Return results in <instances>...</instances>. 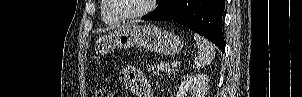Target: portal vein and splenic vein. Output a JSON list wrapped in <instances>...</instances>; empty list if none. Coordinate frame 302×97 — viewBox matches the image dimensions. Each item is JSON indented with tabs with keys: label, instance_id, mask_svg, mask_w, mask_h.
I'll use <instances>...</instances> for the list:
<instances>
[{
	"label": "portal vein and splenic vein",
	"instance_id": "1",
	"mask_svg": "<svg viewBox=\"0 0 302 97\" xmlns=\"http://www.w3.org/2000/svg\"><path fill=\"white\" fill-rule=\"evenodd\" d=\"M177 65H178L177 61L172 63V67H177Z\"/></svg>",
	"mask_w": 302,
	"mask_h": 97
}]
</instances>
